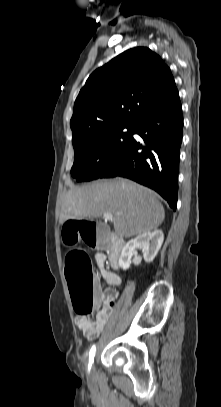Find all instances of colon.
Returning <instances> with one entry per match:
<instances>
[{
  "label": "colon",
  "instance_id": "1",
  "mask_svg": "<svg viewBox=\"0 0 221 407\" xmlns=\"http://www.w3.org/2000/svg\"><path fill=\"white\" fill-rule=\"evenodd\" d=\"M110 226L107 222H97L91 216H69L60 230V239L71 244L73 239H84L85 246L91 249H102L107 253L106 246L111 240ZM65 275L71 293L74 310L80 316L90 315L98 306V294L92 266L88 255L82 250H73L65 262ZM108 300L109 297L105 296Z\"/></svg>",
  "mask_w": 221,
  "mask_h": 407
}]
</instances>
